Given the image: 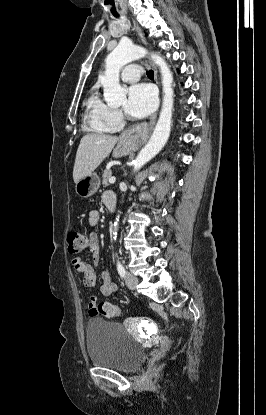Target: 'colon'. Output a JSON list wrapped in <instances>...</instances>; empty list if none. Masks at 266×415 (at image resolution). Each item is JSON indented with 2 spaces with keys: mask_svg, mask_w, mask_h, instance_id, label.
Returning a JSON list of instances; mask_svg holds the SVG:
<instances>
[{
  "mask_svg": "<svg viewBox=\"0 0 266 415\" xmlns=\"http://www.w3.org/2000/svg\"><path fill=\"white\" fill-rule=\"evenodd\" d=\"M68 251L77 254L83 251L88 244L87 237L80 231H72L68 234ZM94 312L108 318H114L120 315V308L112 303H99L96 305Z\"/></svg>",
  "mask_w": 266,
  "mask_h": 415,
  "instance_id": "5ec220e1",
  "label": "colon"
}]
</instances>
